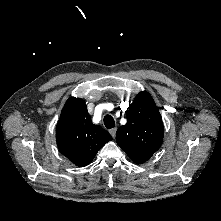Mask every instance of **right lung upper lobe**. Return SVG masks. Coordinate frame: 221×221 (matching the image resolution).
I'll return each instance as SVG.
<instances>
[{
	"label": "right lung upper lobe",
	"mask_w": 221,
	"mask_h": 221,
	"mask_svg": "<svg viewBox=\"0 0 221 221\" xmlns=\"http://www.w3.org/2000/svg\"><path fill=\"white\" fill-rule=\"evenodd\" d=\"M111 135L91 121L85 101L70 97L62 109L56 128L60 152L75 165L87 166Z\"/></svg>",
	"instance_id": "obj_1"
}]
</instances>
